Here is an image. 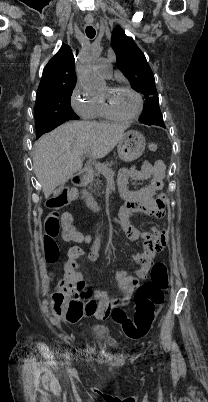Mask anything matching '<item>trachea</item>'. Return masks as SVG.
Instances as JSON below:
<instances>
[{"mask_svg": "<svg viewBox=\"0 0 208 402\" xmlns=\"http://www.w3.org/2000/svg\"><path fill=\"white\" fill-rule=\"evenodd\" d=\"M95 33L96 32H95L93 27H91V26L86 27V35H87L88 38H94Z\"/></svg>", "mask_w": 208, "mask_h": 402, "instance_id": "3493384b", "label": "trachea"}]
</instances>
